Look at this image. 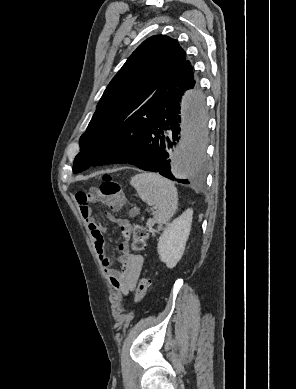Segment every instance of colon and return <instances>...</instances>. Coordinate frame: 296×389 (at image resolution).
I'll return each mask as SVG.
<instances>
[{
  "label": "colon",
  "mask_w": 296,
  "mask_h": 389,
  "mask_svg": "<svg viewBox=\"0 0 296 389\" xmlns=\"http://www.w3.org/2000/svg\"><path fill=\"white\" fill-rule=\"evenodd\" d=\"M98 195L101 200L107 203L110 207L117 206L123 200V193L120 184L111 176L105 175L102 178L99 187ZM148 238V231L141 223H136L132 230V248L135 251L143 250ZM151 286V279L143 277L137 287L135 301L140 303L143 301L149 287Z\"/></svg>",
  "instance_id": "obj_1"
}]
</instances>
